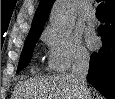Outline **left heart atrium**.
Segmentation results:
<instances>
[{
  "label": "left heart atrium",
  "mask_w": 115,
  "mask_h": 99,
  "mask_svg": "<svg viewBox=\"0 0 115 99\" xmlns=\"http://www.w3.org/2000/svg\"><path fill=\"white\" fill-rule=\"evenodd\" d=\"M87 42H88V45L91 47V48H94L96 47L97 45V38L94 34H89L87 36Z\"/></svg>",
  "instance_id": "1"
}]
</instances>
